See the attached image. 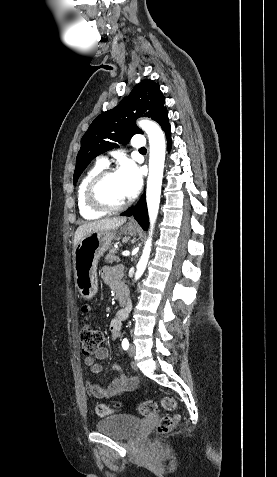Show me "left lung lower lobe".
I'll return each instance as SVG.
<instances>
[{
  "mask_svg": "<svg viewBox=\"0 0 277 477\" xmlns=\"http://www.w3.org/2000/svg\"><path fill=\"white\" fill-rule=\"evenodd\" d=\"M162 129L165 131L167 142H168V149L171 147V128L169 122H167ZM122 216H134V218L138 221L140 226L144 229H148L149 221H148V213H147V206L145 201V196L140 199L139 203L124 213L121 214Z\"/></svg>",
  "mask_w": 277,
  "mask_h": 477,
  "instance_id": "obj_1",
  "label": "left lung lower lobe"
}]
</instances>
